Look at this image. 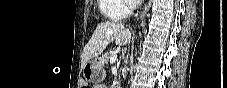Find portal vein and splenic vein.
<instances>
[{"label": "portal vein and splenic vein", "mask_w": 227, "mask_h": 88, "mask_svg": "<svg viewBox=\"0 0 227 88\" xmlns=\"http://www.w3.org/2000/svg\"><path fill=\"white\" fill-rule=\"evenodd\" d=\"M116 60H117V55H116V54H115V55H112V56L110 57V63H111V64L115 63Z\"/></svg>", "instance_id": "obj_1"}]
</instances>
